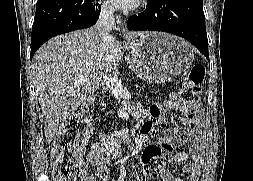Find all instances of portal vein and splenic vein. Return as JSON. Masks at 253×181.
<instances>
[{
  "instance_id": "obj_1",
  "label": "portal vein and splenic vein",
  "mask_w": 253,
  "mask_h": 181,
  "mask_svg": "<svg viewBox=\"0 0 253 181\" xmlns=\"http://www.w3.org/2000/svg\"><path fill=\"white\" fill-rule=\"evenodd\" d=\"M104 82L108 88H110L113 92H122L123 87L121 83L110 74H105L103 76Z\"/></svg>"
}]
</instances>
